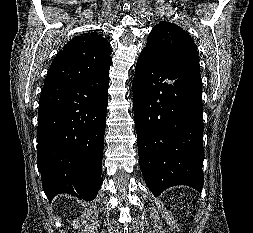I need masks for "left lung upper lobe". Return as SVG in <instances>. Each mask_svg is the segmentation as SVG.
<instances>
[{"instance_id": "left-lung-upper-lobe-1", "label": "left lung upper lobe", "mask_w": 253, "mask_h": 233, "mask_svg": "<svg viewBox=\"0 0 253 233\" xmlns=\"http://www.w3.org/2000/svg\"><path fill=\"white\" fill-rule=\"evenodd\" d=\"M143 49L172 71L185 67L200 71L197 47L193 39L174 23L159 22L150 32Z\"/></svg>"}]
</instances>
